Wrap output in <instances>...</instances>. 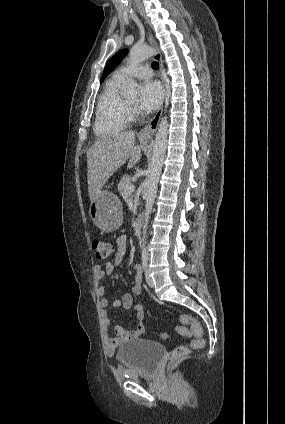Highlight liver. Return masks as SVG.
I'll list each match as a JSON object with an SVG mask.
<instances>
[{"label":"liver","mask_w":285,"mask_h":424,"mask_svg":"<svg viewBox=\"0 0 285 424\" xmlns=\"http://www.w3.org/2000/svg\"><path fill=\"white\" fill-rule=\"evenodd\" d=\"M144 144L135 145L133 131L101 137L87 151V179L90 201L96 199L108 179L128 162L132 168L141 158Z\"/></svg>","instance_id":"obj_1"}]
</instances>
